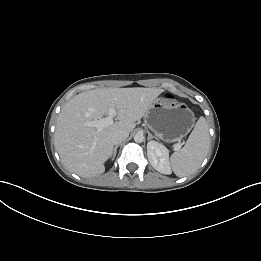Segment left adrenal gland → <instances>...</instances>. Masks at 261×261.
<instances>
[{
  "instance_id": "a2214340",
  "label": "left adrenal gland",
  "mask_w": 261,
  "mask_h": 261,
  "mask_svg": "<svg viewBox=\"0 0 261 261\" xmlns=\"http://www.w3.org/2000/svg\"><path fill=\"white\" fill-rule=\"evenodd\" d=\"M152 138H153L152 134L148 131V140H150Z\"/></svg>"
}]
</instances>
